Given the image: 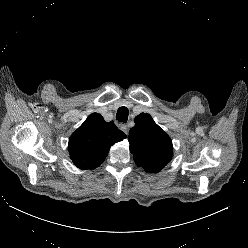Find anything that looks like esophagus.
Segmentation results:
<instances>
[{"label":"esophagus","mask_w":248,"mask_h":248,"mask_svg":"<svg viewBox=\"0 0 248 248\" xmlns=\"http://www.w3.org/2000/svg\"><path fill=\"white\" fill-rule=\"evenodd\" d=\"M120 129H121L126 135H128L129 129H128V126H127V125H121V126H120Z\"/></svg>","instance_id":"34e87169"}]
</instances>
